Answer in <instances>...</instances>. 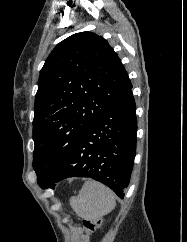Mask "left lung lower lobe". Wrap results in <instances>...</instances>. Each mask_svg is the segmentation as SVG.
<instances>
[{
  "instance_id": "1",
  "label": "left lung lower lobe",
  "mask_w": 187,
  "mask_h": 242,
  "mask_svg": "<svg viewBox=\"0 0 187 242\" xmlns=\"http://www.w3.org/2000/svg\"><path fill=\"white\" fill-rule=\"evenodd\" d=\"M132 87L85 131L74 149L51 173L37 176L48 188L68 177H91L124 197L136 151V106Z\"/></svg>"
}]
</instances>
